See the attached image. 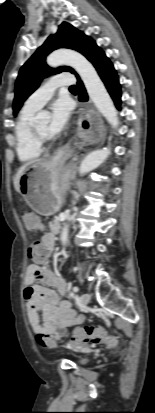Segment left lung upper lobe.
I'll use <instances>...</instances> for the list:
<instances>
[{
  "label": "left lung upper lobe",
  "instance_id": "1",
  "mask_svg": "<svg viewBox=\"0 0 155 413\" xmlns=\"http://www.w3.org/2000/svg\"><path fill=\"white\" fill-rule=\"evenodd\" d=\"M58 48H70L76 50L82 53L91 62L101 51L94 40L84 35L69 23L63 22L59 26L57 33L51 35L20 69L15 84V99L13 103L14 115L17 114L28 96L38 88L44 77L62 71L76 74L72 68L67 66L53 70L46 65V56ZM76 76L78 75L76 74Z\"/></svg>",
  "mask_w": 155,
  "mask_h": 413
}]
</instances>
